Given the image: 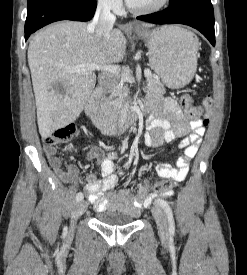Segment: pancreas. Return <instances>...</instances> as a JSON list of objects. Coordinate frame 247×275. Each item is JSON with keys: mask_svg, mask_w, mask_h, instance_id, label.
Returning a JSON list of instances; mask_svg holds the SVG:
<instances>
[{"mask_svg": "<svg viewBox=\"0 0 247 275\" xmlns=\"http://www.w3.org/2000/svg\"><path fill=\"white\" fill-rule=\"evenodd\" d=\"M147 90L153 93H165V88L159 78L151 76L147 78ZM128 89L123 86L122 82H116L112 88L111 95L107 97L101 105V109L104 111L116 112L123 104L125 97L127 96Z\"/></svg>", "mask_w": 247, "mask_h": 275, "instance_id": "pancreas-1", "label": "pancreas"}]
</instances>
